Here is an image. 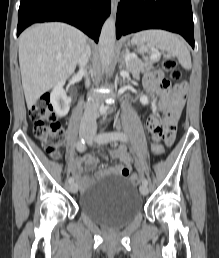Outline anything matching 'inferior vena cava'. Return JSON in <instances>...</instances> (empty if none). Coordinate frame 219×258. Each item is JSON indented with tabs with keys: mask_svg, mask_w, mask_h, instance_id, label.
I'll return each instance as SVG.
<instances>
[{
	"mask_svg": "<svg viewBox=\"0 0 219 258\" xmlns=\"http://www.w3.org/2000/svg\"><path fill=\"white\" fill-rule=\"evenodd\" d=\"M90 56H91V49L88 45H86L78 60L81 72H85V66L88 63ZM86 85L87 86L89 85L88 79L86 80ZM97 110H98V103H95V102L86 103L84 115L81 119V124H80V128L82 130L88 131L90 133L96 132Z\"/></svg>",
	"mask_w": 219,
	"mask_h": 258,
	"instance_id": "602c4592",
	"label": "inferior vena cava"
}]
</instances>
